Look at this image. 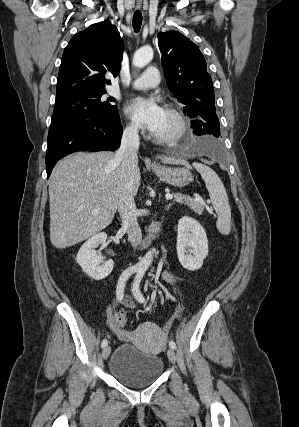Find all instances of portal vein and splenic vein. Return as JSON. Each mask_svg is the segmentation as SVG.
<instances>
[{"label": "portal vein and splenic vein", "mask_w": 299, "mask_h": 427, "mask_svg": "<svg viewBox=\"0 0 299 427\" xmlns=\"http://www.w3.org/2000/svg\"><path fill=\"white\" fill-rule=\"evenodd\" d=\"M172 198H173V195H171V194H166V199L170 200V199H172ZM195 200L199 201V200H202V199H201V198H195Z\"/></svg>", "instance_id": "portal-vein-and-splenic-vein-1"}]
</instances>
